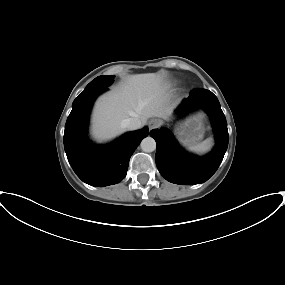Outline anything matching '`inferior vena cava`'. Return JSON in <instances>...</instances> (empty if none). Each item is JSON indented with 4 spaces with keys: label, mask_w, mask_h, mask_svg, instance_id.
Listing matches in <instances>:
<instances>
[{
    "label": "inferior vena cava",
    "mask_w": 285,
    "mask_h": 285,
    "mask_svg": "<svg viewBox=\"0 0 285 285\" xmlns=\"http://www.w3.org/2000/svg\"><path fill=\"white\" fill-rule=\"evenodd\" d=\"M122 127L128 130H136L141 127L142 123L138 118H127L122 121Z\"/></svg>",
    "instance_id": "602c4592"
}]
</instances>
